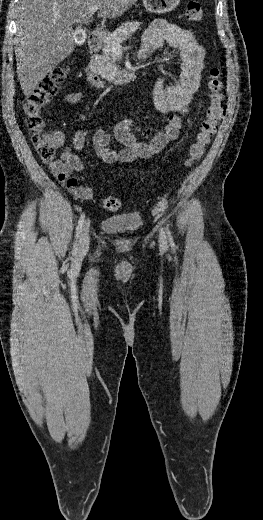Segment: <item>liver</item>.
I'll return each instance as SVG.
<instances>
[{
  "label": "liver",
  "mask_w": 263,
  "mask_h": 520,
  "mask_svg": "<svg viewBox=\"0 0 263 520\" xmlns=\"http://www.w3.org/2000/svg\"><path fill=\"white\" fill-rule=\"evenodd\" d=\"M137 0H21L15 39L17 74L29 96L36 86L74 50L73 24L92 21L89 9L99 6L104 18L123 15Z\"/></svg>",
  "instance_id": "obj_1"
}]
</instances>
